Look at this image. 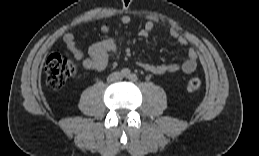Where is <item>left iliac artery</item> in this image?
Wrapping results in <instances>:
<instances>
[{
	"label": "left iliac artery",
	"mask_w": 259,
	"mask_h": 156,
	"mask_svg": "<svg viewBox=\"0 0 259 156\" xmlns=\"http://www.w3.org/2000/svg\"><path fill=\"white\" fill-rule=\"evenodd\" d=\"M129 79H130L132 82H136V81L138 80L136 74H130V75H129Z\"/></svg>",
	"instance_id": "left-iliac-artery-1"
}]
</instances>
